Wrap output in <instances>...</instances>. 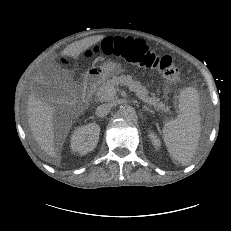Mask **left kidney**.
<instances>
[{
  "mask_svg": "<svg viewBox=\"0 0 231 231\" xmlns=\"http://www.w3.org/2000/svg\"><path fill=\"white\" fill-rule=\"evenodd\" d=\"M149 137H150L154 147L156 149H158L160 147V140L157 138V136L153 132H150Z\"/></svg>",
  "mask_w": 231,
  "mask_h": 231,
  "instance_id": "5707ae66",
  "label": "left kidney"
}]
</instances>
